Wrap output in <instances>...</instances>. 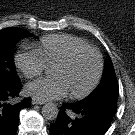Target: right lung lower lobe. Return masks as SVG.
Wrapping results in <instances>:
<instances>
[{
	"label": "right lung lower lobe",
	"instance_id": "1",
	"mask_svg": "<svg viewBox=\"0 0 135 135\" xmlns=\"http://www.w3.org/2000/svg\"><path fill=\"white\" fill-rule=\"evenodd\" d=\"M21 88L20 82L0 87V135H15L20 110L31 106V98L14 103L13 99L18 96Z\"/></svg>",
	"mask_w": 135,
	"mask_h": 135
}]
</instances>
